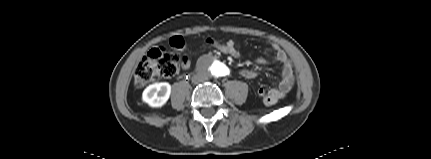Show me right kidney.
I'll return each mask as SVG.
<instances>
[{"instance_id":"right-kidney-1","label":"right kidney","mask_w":431,"mask_h":159,"mask_svg":"<svg viewBox=\"0 0 431 159\" xmlns=\"http://www.w3.org/2000/svg\"><path fill=\"white\" fill-rule=\"evenodd\" d=\"M171 85L167 82L154 83L149 85L142 94L143 102L151 107H162L169 99Z\"/></svg>"}]
</instances>
